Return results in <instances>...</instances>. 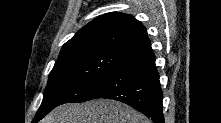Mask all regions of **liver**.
I'll return each instance as SVG.
<instances>
[{"mask_svg": "<svg viewBox=\"0 0 221 123\" xmlns=\"http://www.w3.org/2000/svg\"><path fill=\"white\" fill-rule=\"evenodd\" d=\"M41 123H150L133 108L107 99L56 107Z\"/></svg>", "mask_w": 221, "mask_h": 123, "instance_id": "1", "label": "liver"}]
</instances>
